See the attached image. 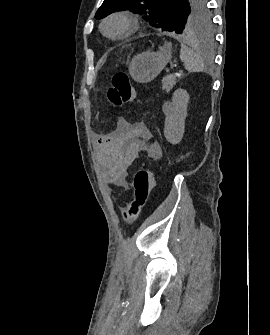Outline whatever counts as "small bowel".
<instances>
[{
  "label": "small bowel",
  "instance_id": "1",
  "mask_svg": "<svg viewBox=\"0 0 270 335\" xmlns=\"http://www.w3.org/2000/svg\"><path fill=\"white\" fill-rule=\"evenodd\" d=\"M150 134L142 124L122 119L111 134L98 135L96 148L98 163L104 181L110 185L127 188L129 168L145 149L153 159L162 157V150L156 143L145 144Z\"/></svg>",
  "mask_w": 270,
  "mask_h": 335
}]
</instances>
